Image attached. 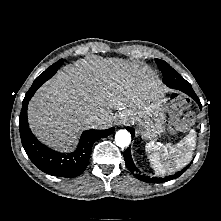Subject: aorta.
Listing matches in <instances>:
<instances>
[{"instance_id": "obj_1", "label": "aorta", "mask_w": 221, "mask_h": 221, "mask_svg": "<svg viewBox=\"0 0 221 221\" xmlns=\"http://www.w3.org/2000/svg\"><path fill=\"white\" fill-rule=\"evenodd\" d=\"M115 142L119 147H127L131 142V135L127 130H119L115 135Z\"/></svg>"}]
</instances>
